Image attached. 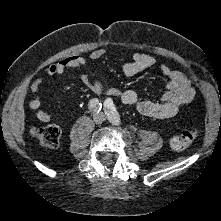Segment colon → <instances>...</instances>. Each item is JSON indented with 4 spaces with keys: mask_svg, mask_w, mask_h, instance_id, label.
<instances>
[{
    "mask_svg": "<svg viewBox=\"0 0 221 221\" xmlns=\"http://www.w3.org/2000/svg\"><path fill=\"white\" fill-rule=\"evenodd\" d=\"M33 137L43 146L55 149L59 146L61 129L55 124L35 128L32 132ZM196 129H188L176 134L170 139V146L173 150L182 151L187 149L197 138Z\"/></svg>",
    "mask_w": 221,
    "mask_h": 221,
    "instance_id": "obj_1",
    "label": "colon"
}]
</instances>
